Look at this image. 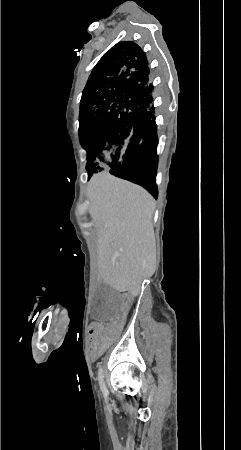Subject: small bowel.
Masks as SVG:
<instances>
[{
    "instance_id": "c3829d8e",
    "label": "small bowel",
    "mask_w": 241,
    "mask_h": 450,
    "mask_svg": "<svg viewBox=\"0 0 241 450\" xmlns=\"http://www.w3.org/2000/svg\"><path fill=\"white\" fill-rule=\"evenodd\" d=\"M121 311L123 312V313H126L127 311H128V308L130 307V302L128 301V300H123L122 302H121ZM92 327L88 330V333L91 335V336H96L97 334H98V327H99V322L98 321H93L92 322ZM124 327V322L122 321V320H117L116 322H115V327H111L110 329H109V336H107L106 337V342L107 343H109V344H114L115 342H116V335L118 334V329H122ZM90 345L93 347L92 348V350H91V355H92V357L93 358H96V357H98L99 355H100V350H102L103 349V347H98V346H96L97 345V342L95 341V340H92L91 342H90Z\"/></svg>"
}]
</instances>
